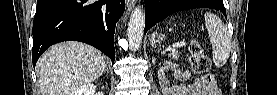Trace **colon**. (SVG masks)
<instances>
[{
  "instance_id": "1",
  "label": "colon",
  "mask_w": 277,
  "mask_h": 95,
  "mask_svg": "<svg viewBox=\"0 0 277 95\" xmlns=\"http://www.w3.org/2000/svg\"><path fill=\"white\" fill-rule=\"evenodd\" d=\"M189 52L192 71L199 74H206L208 81L213 82L214 77L208 72L211 66L210 60L201 45L198 42L193 41L190 45Z\"/></svg>"
}]
</instances>
